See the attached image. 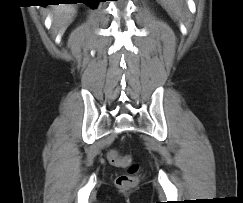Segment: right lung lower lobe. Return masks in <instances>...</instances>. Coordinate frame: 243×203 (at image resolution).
I'll return each mask as SVG.
<instances>
[{
	"label": "right lung lower lobe",
	"instance_id": "1",
	"mask_svg": "<svg viewBox=\"0 0 243 203\" xmlns=\"http://www.w3.org/2000/svg\"><path fill=\"white\" fill-rule=\"evenodd\" d=\"M59 3H87L93 9L97 7L98 3L104 0H59Z\"/></svg>",
	"mask_w": 243,
	"mask_h": 203
}]
</instances>
